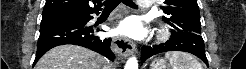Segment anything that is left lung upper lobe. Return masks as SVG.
Returning a JSON list of instances; mask_svg holds the SVG:
<instances>
[{"label": "left lung upper lobe", "mask_w": 246, "mask_h": 69, "mask_svg": "<svg viewBox=\"0 0 246 69\" xmlns=\"http://www.w3.org/2000/svg\"><path fill=\"white\" fill-rule=\"evenodd\" d=\"M166 16L162 19L174 32H191L200 35V12L196 0H165L160 6Z\"/></svg>", "instance_id": "left-lung-upper-lobe-1"}]
</instances>
